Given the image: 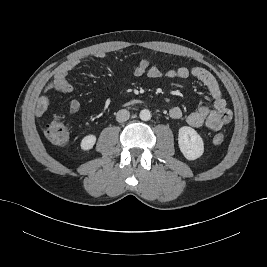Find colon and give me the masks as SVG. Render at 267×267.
Masks as SVG:
<instances>
[{
    "label": "colon",
    "instance_id": "colon-1",
    "mask_svg": "<svg viewBox=\"0 0 267 267\" xmlns=\"http://www.w3.org/2000/svg\"><path fill=\"white\" fill-rule=\"evenodd\" d=\"M45 136L50 142L56 145H63L69 140V129L62 117L55 116L43 126ZM224 141V135L218 133L214 136L213 142L221 144Z\"/></svg>",
    "mask_w": 267,
    "mask_h": 267
}]
</instances>
